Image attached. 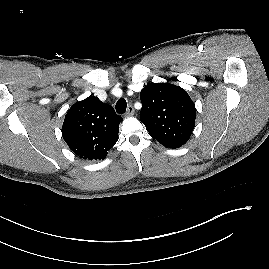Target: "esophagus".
Returning a JSON list of instances; mask_svg holds the SVG:
<instances>
[{
	"mask_svg": "<svg viewBox=\"0 0 269 269\" xmlns=\"http://www.w3.org/2000/svg\"><path fill=\"white\" fill-rule=\"evenodd\" d=\"M132 115H134V108L132 105H129L127 107L126 116H132Z\"/></svg>",
	"mask_w": 269,
	"mask_h": 269,
	"instance_id": "1",
	"label": "esophagus"
}]
</instances>
